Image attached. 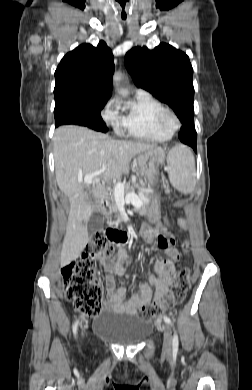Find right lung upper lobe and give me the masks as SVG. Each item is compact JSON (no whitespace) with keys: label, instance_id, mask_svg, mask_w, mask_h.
Returning <instances> with one entry per match:
<instances>
[{"label":"right lung upper lobe","instance_id":"right-lung-upper-lobe-1","mask_svg":"<svg viewBox=\"0 0 252 390\" xmlns=\"http://www.w3.org/2000/svg\"><path fill=\"white\" fill-rule=\"evenodd\" d=\"M113 55L105 42L82 44L67 53L55 71V104L68 100L107 102L112 94Z\"/></svg>","mask_w":252,"mask_h":390}]
</instances>
